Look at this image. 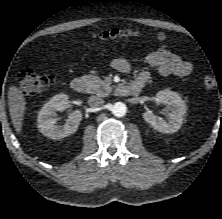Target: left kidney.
Instances as JSON below:
<instances>
[{
  "label": "left kidney",
  "instance_id": "1",
  "mask_svg": "<svg viewBox=\"0 0 222 219\" xmlns=\"http://www.w3.org/2000/svg\"><path fill=\"white\" fill-rule=\"evenodd\" d=\"M156 103H165L170 110L169 120L165 121L154 115L152 111L143 113L144 120L149 123L155 130L162 133H174L180 129L183 123L187 107L180 95L170 90H162L156 94Z\"/></svg>",
  "mask_w": 222,
  "mask_h": 219
}]
</instances>
